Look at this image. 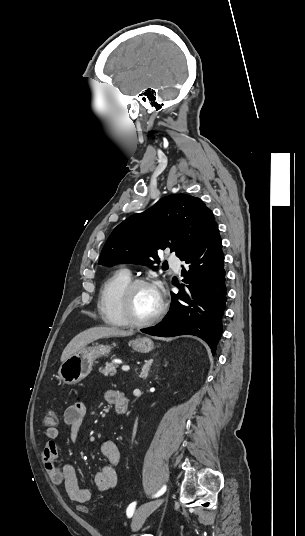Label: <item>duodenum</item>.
<instances>
[{
    "label": "duodenum",
    "mask_w": 305,
    "mask_h": 536,
    "mask_svg": "<svg viewBox=\"0 0 305 536\" xmlns=\"http://www.w3.org/2000/svg\"><path fill=\"white\" fill-rule=\"evenodd\" d=\"M113 403L116 405L118 413H125L127 409V400L123 392H116L113 398Z\"/></svg>",
    "instance_id": "duodenum-1"
}]
</instances>
